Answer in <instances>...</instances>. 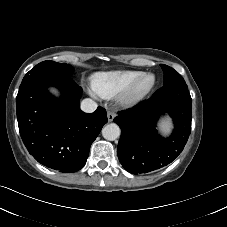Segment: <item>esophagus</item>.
Wrapping results in <instances>:
<instances>
[{
	"mask_svg": "<svg viewBox=\"0 0 227 227\" xmlns=\"http://www.w3.org/2000/svg\"><path fill=\"white\" fill-rule=\"evenodd\" d=\"M115 115H116L115 112L108 110V111H107V118H108V121H109V122H112L113 119H114V117H115Z\"/></svg>",
	"mask_w": 227,
	"mask_h": 227,
	"instance_id": "34e87169",
	"label": "esophagus"
}]
</instances>
